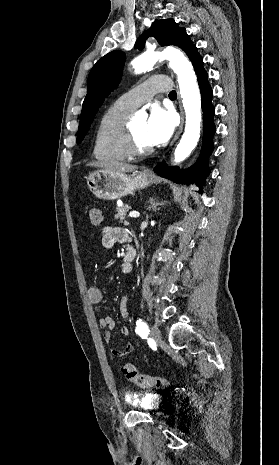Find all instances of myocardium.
I'll list each match as a JSON object with an SVG mask.
<instances>
[{"label":"myocardium","mask_w":279,"mask_h":465,"mask_svg":"<svg viewBox=\"0 0 279 465\" xmlns=\"http://www.w3.org/2000/svg\"><path fill=\"white\" fill-rule=\"evenodd\" d=\"M120 146L127 156L142 157L153 152L152 147L146 149L137 147L130 125H125L123 135L120 140Z\"/></svg>","instance_id":"obj_1"}]
</instances>
